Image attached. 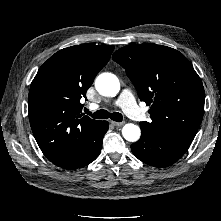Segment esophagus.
Wrapping results in <instances>:
<instances>
[{
    "mask_svg": "<svg viewBox=\"0 0 221 221\" xmlns=\"http://www.w3.org/2000/svg\"><path fill=\"white\" fill-rule=\"evenodd\" d=\"M111 123L116 126V127H121L124 125V122H115V121H111Z\"/></svg>",
    "mask_w": 221,
    "mask_h": 221,
    "instance_id": "obj_1",
    "label": "esophagus"
}]
</instances>
